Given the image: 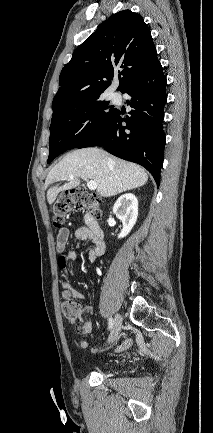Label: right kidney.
<instances>
[{"label": "right kidney", "instance_id": "ca27d5eb", "mask_svg": "<svg viewBox=\"0 0 213 433\" xmlns=\"http://www.w3.org/2000/svg\"><path fill=\"white\" fill-rule=\"evenodd\" d=\"M113 213L123 224L118 238H124L130 233L137 221L138 200L135 195L128 193L120 196L113 206Z\"/></svg>", "mask_w": 213, "mask_h": 433}]
</instances>
